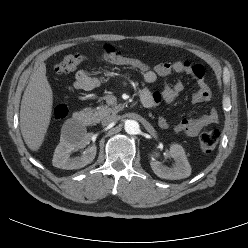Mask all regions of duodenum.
<instances>
[{
    "label": "duodenum",
    "instance_id": "duodenum-1",
    "mask_svg": "<svg viewBox=\"0 0 248 248\" xmlns=\"http://www.w3.org/2000/svg\"><path fill=\"white\" fill-rule=\"evenodd\" d=\"M141 103H142V106L144 108H150L151 107L150 100L148 99L147 96L141 97ZM72 122L75 123L78 126L86 127V126L92 125L93 118L87 112L77 111L73 115Z\"/></svg>",
    "mask_w": 248,
    "mask_h": 248
}]
</instances>
